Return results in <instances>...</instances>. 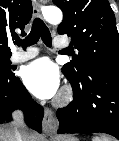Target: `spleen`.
Here are the masks:
<instances>
[{"label": "spleen", "mask_w": 119, "mask_h": 141, "mask_svg": "<svg viewBox=\"0 0 119 141\" xmlns=\"http://www.w3.org/2000/svg\"><path fill=\"white\" fill-rule=\"evenodd\" d=\"M92 141H110V140L106 137H97L96 136L92 139Z\"/></svg>", "instance_id": "1"}]
</instances>
